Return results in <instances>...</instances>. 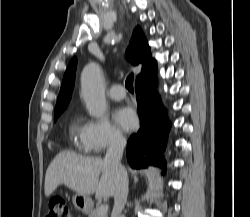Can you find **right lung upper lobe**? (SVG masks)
<instances>
[{"instance_id": "obj_1", "label": "right lung upper lobe", "mask_w": 250, "mask_h": 217, "mask_svg": "<svg viewBox=\"0 0 250 217\" xmlns=\"http://www.w3.org/2000/svg\"><path fill=\"white\" fill-rule=\"evenodd\" d=\"M126 54L127 58L133 65H138L139 63H142L143 70L141 74L144 73L148 68H150L155 63V61L151 57L146 37L139 26L136 27L133 33ZM76 64H77V59L73 58L66 69L61 89L59 92V96L57 99L55 112L64 111L70 102L74 87Z\"/></svg>"}]
</instances>
